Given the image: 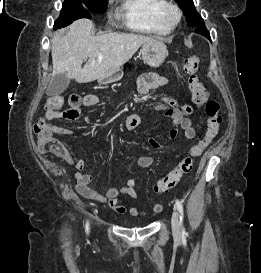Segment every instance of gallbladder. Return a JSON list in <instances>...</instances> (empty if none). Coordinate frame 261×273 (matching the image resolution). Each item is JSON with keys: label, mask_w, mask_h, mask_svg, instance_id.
<instances>
[{"label": "gallbladder", "mask_w": 261, "mask_h": 273, "mask_svg": "<svg viewBox=\"0 0 261 273\" xmlns=\"http://www.w3.org/2000/svg\"><path fill=\"white\" fill-rule=\"evenodd\" d=\"M70 83V79L65 73H60L54 76L46 91L48 96H57L63 93Z\"/></svg>", "instance_id": "gallbladder-1"}]
</instances>
